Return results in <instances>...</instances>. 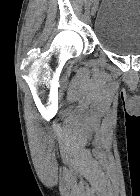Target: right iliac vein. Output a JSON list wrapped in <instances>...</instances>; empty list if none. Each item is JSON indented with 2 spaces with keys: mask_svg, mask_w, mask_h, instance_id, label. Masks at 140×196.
<instances>
[{
  "mask_svg": "<svg viewBox=\"0 0 140 196\" xmlns=\"http://www.w3.org/2000/svg\"><path fill=\"white\" fill-rule=\"evenodd\" d=\"M96 11H97V5L95 4V5H93V7H92V9H91V15H92V16H95Z\"/></svg>",
  "mask_w": 140,
  "mask_h": 196,
  "instance_id": "right-iliac-vein-1",
  "label": "right iliac vein"
}]
</instances>
